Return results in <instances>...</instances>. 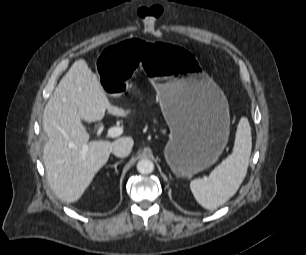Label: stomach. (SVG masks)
Here are the masks:
<instances>
[{
	"mask_svg": "<svg viewBox=\"0 0 306 255\" xmlns=\"http://www.w3.org/2000/svg\"><path fill=\"white\" fill-rule=\"evenodd\" d=\"M96 63L100 86L113 97L124 94L129 75L145 65L171 131L164 156L177 176L190 178L217 160L229 136L227 99L186 50L133 38L106 47Z\"/></svg>",
	"mask_w": 306,
	"mask_h": 255,
	"instance_id": "obj_1",
	"label": "stomach"
}]
</instances>
